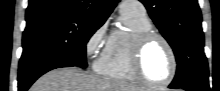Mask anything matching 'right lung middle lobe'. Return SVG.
<instances>
[{
  "instance_id": "1",
  "label": "right lung middle lobe",
  "mask_w": 220,
  "mask_h": 91,
  "mask_svg": "<svg viewBox=\"0 0 220 91\" xmlns=\"http://www.w3.org/2000/svg\"><path fill=\"white\" fill-rule=\"evenodd\" d=\"M101 25L73 18H54L27 24L19 72L52 59L86 68V44Z\"/></svg>"
}]
</instances>
